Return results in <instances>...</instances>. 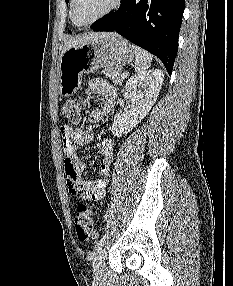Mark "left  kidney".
<instances>
[{"label": "left kidney", "instance_id": "5707ae66", "mask_svg": "<svg viewBox=\"0 0 233 286\" xmlns=\"http://www.w3.org/2000/svg\"><path fill=\"white\" fill-rule=\"evenodd\" d=\"M164 74L160 69L138 73L127 81L128 106L124 113H116L112 133L120 137L130 132L150 111L159 95Z\"/></svg>", "mask_w": 233, "mask_h": 286}]
</instances>
